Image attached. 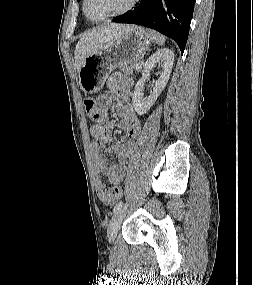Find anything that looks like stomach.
Listing matches in <instances>:
<instances>
[{
	"label": "stomach",
	"instance_id": "stomach-1",
	"mask_svg": "<svg viewBox=\"0 0 253 285\" xmlns=\"http://www.w3.org/2000/svg\"><path fill=\"white\" fill-rule=\"evenodd\" d=\"M152 41L145 29L133 25L105 47L85 58L78 72L82 91L88 94L98 92L114 69L138 63Z\"/></svg>",
	"mask_w": 253,
	"mask_h": 285
}]
</instances>
